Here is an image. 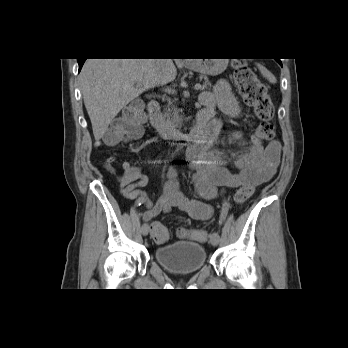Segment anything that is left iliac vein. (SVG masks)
I'll return each instance as SVG.
<instances>
[{"label":"left iliac vein","instance_id":"left-iliac-vein-1","mask_svg":"<svg viewBox=\"0 0 348 348\" xmlns=\"http://www.w3.org/2000/svg\"><path fill=\"white\" fill-rule=\"evenodd\" d=\"M219 240H220V236L217 232H213L211 235H210V242L213 246H217L218 243H219Z\"/></svg>","mask_w":348,"mask_h":348}]
</instances>
